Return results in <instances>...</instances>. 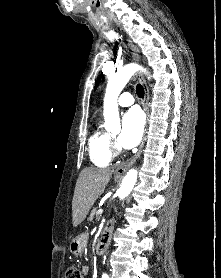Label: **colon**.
Segmentation results:
<instances>
[{
  "label": "colon",
  "mask_w": 221,
  "mask_h": 278,
  "mask_svg": "<svg viewBox=\"0 0 221 278\" xmlns=\"http://www.w3.org/2000/svg\"><path fill=\"white\" fill-rule=\"evenodd\" d=\"M65 278H83V273L78 267L70 266L66 270Z\"/></svg>",
  "instance_id": "colon-1"
}]
</instances>
